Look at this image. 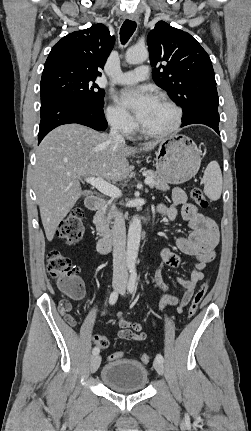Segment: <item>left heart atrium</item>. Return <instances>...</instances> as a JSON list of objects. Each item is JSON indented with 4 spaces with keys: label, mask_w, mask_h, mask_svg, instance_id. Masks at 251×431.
Returning a JSON list of instances; mask_svg holds the SVG:
<instances>
[{
    "label": "left heart atrium",
    "mask_w": 251,
    "mask_h": 431,
    "mask_svg": "<svg viewBox=\"0 0 251 431\" xmlns=\"http://www.w3.org/2000/svg\"><path fill=\"white\" fill-rule=\"evenodd\" d=\"M156 98L143 87L123 90L118 96L119 104L131 110L142 122L156 103Z\"/></svg>",
    "instance_id": "obj_1"
}]
</instances>
